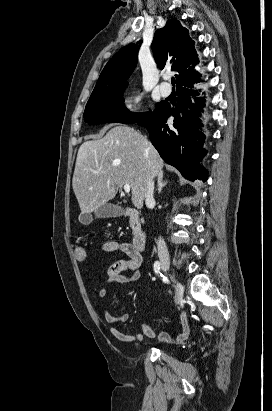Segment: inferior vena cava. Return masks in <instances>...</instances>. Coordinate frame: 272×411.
Wrapping results in <instances>:
<instances>
[{
	"label": "inferior vena cava",
	"mask_w": 272,
	"mask_h": 411,
	"mask_svg": "<svg viewBox=\"0 0 272 411\" xmlns=\"http://www.w3.org/2000/svg\"><path fill=\"white\" fill-rule=\"evenodd\" d=\"M145 203L147 206L155 204L154 200V180L152 176H149L147 180V187L145 193ZM158 256L162 262L169 261V252L166 243L162 237L157 240Z\"/></svg>",
	"instance_id": "1"
}]
</instances>
